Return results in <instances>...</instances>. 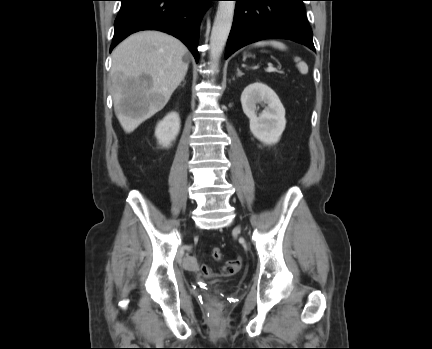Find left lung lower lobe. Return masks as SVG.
<instances>
[{"label":"left lung lower lobe","instance_id":"1","mask_svg":"<svg viewBox=\"0 0 432 349\" xmlns=\"http://www.w3.org/2000/svg\"><path fill=\"white\" fill-rule=\"evenodd\" d=\"M236 8L225 58L241 47L263 39L293 40L315 51L302 1L235 0Z\"/></svg>","mask_w":432,"mask_h":349}]
</instances>
